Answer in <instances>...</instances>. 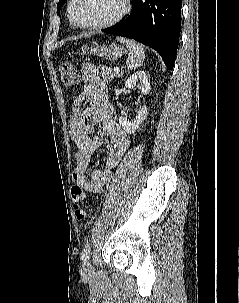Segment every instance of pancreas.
Segmentation results:
<instances>
[{"mask_svg": "<svg viewBox=\"0 0 239 303\" xmlns=\"http://www.w3.org/2000/svg\"><path fill=\"white\" fill-rule=\"evenodd\" d=\"M99 68L101 69V75H102L103 81L106 83H110L112 81V79H114L116 76H118V73H115L112 69H110L104 65H100Z\"/></svg>", "mask_w": 239, "mask_h": 303, "instance_id": "1", "label": "pancreas"}]
</instances>
